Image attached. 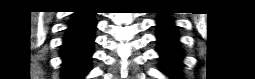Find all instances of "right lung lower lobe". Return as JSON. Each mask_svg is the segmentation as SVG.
Returning <instances> with one entry per match:
<instances>
[{
	"instance_id": "obj_1",
	"label": "right lung lower lobe",
	"mask_w": 255,
	"mask_h": 79,
	"mask_svg": "<svg viewBox=\"0 0 255 79\" xmlns=\"http://www.w3.org/2000/svg\"><path fill=\"white\" fill-rule=\"evenodd\" d=\"M95 28L93 12H75L61 50L65 79H82L90 71Z\"/></svg>"
}]
</instances>
